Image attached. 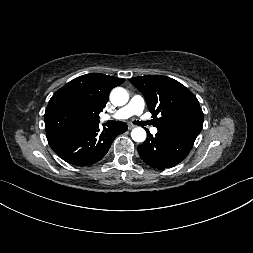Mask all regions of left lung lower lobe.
I'll use <instances>...</instances> for the list:
<instances>
[{
  "label": "left lung lower lobe",
  "mask_w": 253,
  "mask_h": 253,
  "mask_svg": "<svg viewBox=\"0 0 253 253\" xmlns=\"http://www.w3.org/2000/svg\"><path fill=\"white\" fill-rule=\"evenodd\" d=\"M148 139L137 147L141 159L157 168H171L183 161L195 142L194 138L158 131L153 137L147 131Z\"/></svg>",
  "instance_id": "0a47b994"
}]
</instances>
